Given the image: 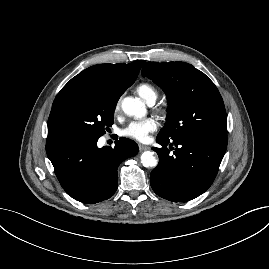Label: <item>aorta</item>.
<instances>
[{"label":"aorta","instance_id":"obj_1","mask_svg":"<svg viewBox=\"0 0 269 269\" xmlns=\"http://www.w3.org/2000/svg\"><path fill=\"white\" fill-rule=\"evenodd\" d=\"M122 109L127 115L136 118H142L146 115L145 104L139 98H124L122 101ZM140 159L145 167H156L158 164V159L155 153L151 151L143 152Z\"/></svg>","mask_w":269,"mask_h":269}]
</instances>
